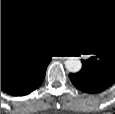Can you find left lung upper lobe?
Returning a JSON list of instances; mask_svg holds the SVG:
<instances>
[{
  "label": "left lung upper lobe",
  "instance_id": "5c2ea615",
  "mask_svg": "<svg viewBox=\"0 0 115 114\" xmlns=\"http://www.w3.org/2000/svg\"><path fill=\"white\" fill-rule=\"evenodd\" d=\"M84 53L91 57L82 60V68L115 77V28L103 32Z\"/></svg>",
  "mask_w": 115,
  "mask_h": 114
}]
</instances>
